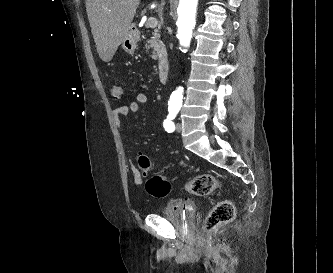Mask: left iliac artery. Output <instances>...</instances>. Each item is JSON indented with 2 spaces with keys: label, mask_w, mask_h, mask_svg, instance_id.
Segmentation results:
<instances>
[{
  "label": "left iliac artery",
  "mask_w": 333,
  "mask_h": 273,
  "mask_svg": "<svg viewBox=\"0 0 333 273\" xmlns=\"http://www.w3.org/2000/svg\"><path fill=\"white\" fill-rule=\"evenodd\" d=\"M168 111L169 113L167 118L163 122V126L168 133H171L175 130L173 119L176 117L178 111L174 109H169Z\"/></svg>",
  "instance_id": "44dca946"
}]
</instances>
